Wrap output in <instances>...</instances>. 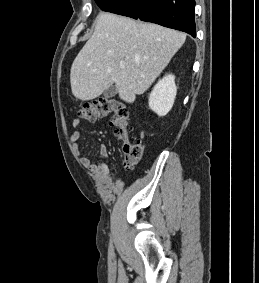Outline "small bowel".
I'll return each instance as SVG.
<instances>
[{"mask_svg": "<svg viewBox=\"0 0 259 283\" xmlns=\"http://www.w3.org/2000/svg\"><path fill=\"white\" fill-rule=\"evenodd\" d=\"M72 126L75 131L72 134V140L74 141V146L76 151L79 152V144L78 141L81 138V133L77 130L81 126V121L78 118H75L72 121ZM99 154L101 158H106L108 156V150L105 146H101L99 150ZM79 162L87 167L92 173H94L101 183L113 181L115 177H113L111 173V167L106 162L93 163L91 160L85 156L79 157Z\"/></svg>", "mask_w": 259, "mask_h": 283, "instance_id": "obj_1", "label": "small bowel"}]
</instances>
